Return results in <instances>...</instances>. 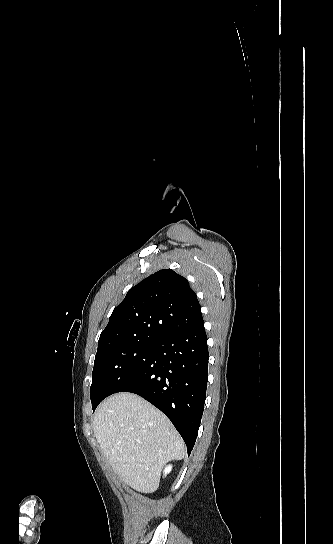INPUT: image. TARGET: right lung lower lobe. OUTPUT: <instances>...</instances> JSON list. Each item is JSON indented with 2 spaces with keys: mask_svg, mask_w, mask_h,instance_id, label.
Returning a JSON list of instances; mask_svg holds the SVG:
<instances>
[{
  "mask_svg": "<svg viewBox=\"0 0 333 544\" xmlns=\"http://www.w3.org/2000/svg\"><path fill=\"white\" fill-rule=\"evenodd\" d=\"M203 318L156 341L149 361L119 392L140 395L173 423L190 455L198 434L208 379Z\"/></svg>",
  "mask_w": 333,
  "mask_h": 544,
  "instance_id": "right-lung-lower-lobe-1",
  "label": "right lung lower lobe"
}]
</instances>
